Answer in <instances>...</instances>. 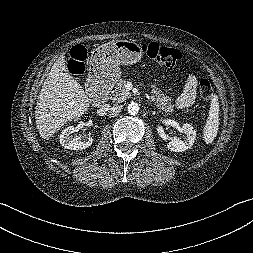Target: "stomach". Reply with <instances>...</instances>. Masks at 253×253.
Returning a JSON list of instances; mask_svg holds the SVG:
<instances>
[{
  "label": "stomach",
  "instance_id": "0dacf381",
  "mask_svg": "<svg viewBox=\"0 0 253 253\" xmlns=\"http://www.w3.org/2000/svg\"><path fill=\"white\" fill-rule=\"evenodd\" d=\"M145 52L142 44L134 40H115L96 49L90 70L107 82L119 78V65H132L139 62Z\"/></svg>",
  "mask_w": 253,
  "mask_h": 253
}]
</instances>
